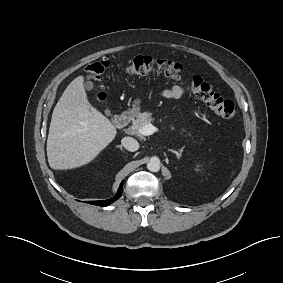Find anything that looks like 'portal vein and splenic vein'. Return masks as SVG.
<instances>
[{"instance_id":"portal-vein-and-splenic-vein-1","label":"portal vein and splenic vein","mask_w":283,"mask_h":283,"mask_svg":"<svg viewBox=\"0 0 283 283\" xmlns=\"http://www.w3.org/2000/svg\"><path fill=\"white\" fill-rule=\"evenodd\" d=\"M156 131H158V129L152 124H146L139 129L140 134L144 136L152 135Z\"/></svg>"}]
</instances>
